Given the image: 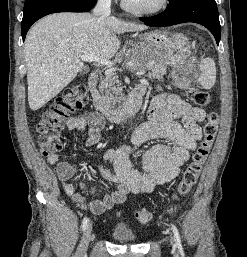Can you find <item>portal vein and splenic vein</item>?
Instances as JSON below:
<instances>
[{
    "instance_id": "1",
    "label": "portal vein and splenic vein",
    "mask_w": 247,
    "mask_h": 257,
    "mask_svg": "<svg viewBox=\"0 0 247 257\" xmlns=\"http://www.w3.org/2000/svg\"><path fill=\"white\" fill-rule=\"evenodd\" d=\"M80 59L82 61L95 62V63H98L100 65H105V66H108V67L113 66V63L111 61H109L108 59H102V58H99V57H96V56H93V55H81ZM144 74H145V71H139V72L136 73L137 76H142Z\"/></svg>"
}]
</instances>
